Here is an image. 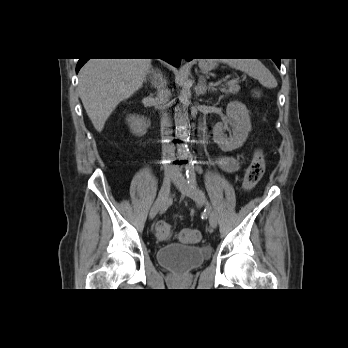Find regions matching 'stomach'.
<instances>
[{"label": "stomach", "instance_id": "0dacf381", "mask_svg": "<svg viewBox=\"0 0 348 348\" xmlns=\"http://www.w3.org/2000/svg\"><path fill=\"white\" fill-rule=\"evenodd\" d=\"M216 66V62H214L213 60H202L200 62V68L203 71H211L212 69H214Z\"/></svg>", "mask_w": 348, "mask_h": 348}]
</instances>
